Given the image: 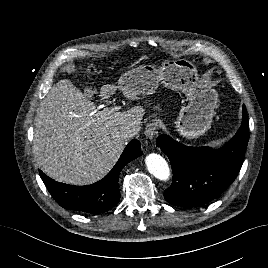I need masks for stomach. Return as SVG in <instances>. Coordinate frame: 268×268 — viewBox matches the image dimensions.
Returning a JSON list of instances; mask_svg holds the SVG:
<instances>
[{
  "mask_svg": "<svg viewBox=\"0 0 268 268\" xmlns=\"http://www.w3.org/2000/svg\"><path fill=\"white\" fill-rule=\"evenodd\" d=\"M159 84L183 93L188 100L175 121L182 136L198 138L211 127L218 94L203 86L195 64L187 59L165 60L158 69L140 65L122 74L117 88L123 94L150 95Z\"/></svg>",
  "mask_w": 268,
  "mask_h": 268,
  "instance_id": "0dacf381",
  "label": "stomach"
}]
</instances>
